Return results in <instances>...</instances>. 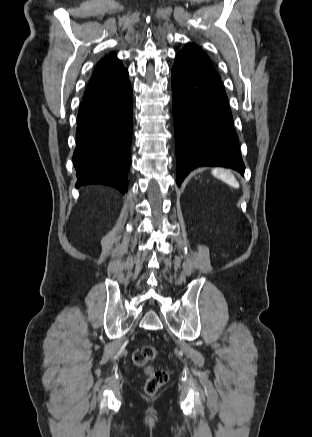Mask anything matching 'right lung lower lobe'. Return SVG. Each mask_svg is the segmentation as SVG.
I'll return each mask as SVG.
<instances>
[{"instance_id": "right-lung-lower-lobe-1", "label": "right lung lower lobe", "mask_w": 312, "mask_h": 437, "mask_svg": "<svg viewBox=\"0 0 312 437\" xmlns=\"http://www.w3.org/2000/svg\"><path fill=\"white\" fill-rule=\"evenodd\" d=\"M132 87L128 72L108 88L84 97L77 117L73 164L76 187L108 185L127 191L132 141Z\"/></svg>"}]
</instances>
